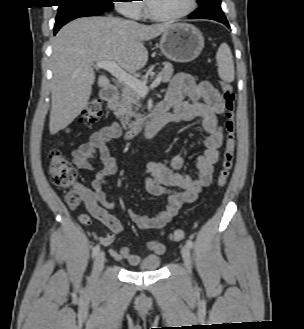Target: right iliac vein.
<instances>
[{"mask_svg": "<svg viewBox=\"0 0 304 329\" xmlns=\"http://www.w3.org/2000/svg\"><path fill=\"white\" fill-rule=\"evenodd\" d=\"M104 262H105V253L103 251H101L94 262V266H93V271H92V275H91V283H96L104 266Z\"/></svg>", "mask_w": 304, "mask_h": 329, "instance_id": "1", "label": "right iliac vein"}]
</instances>
